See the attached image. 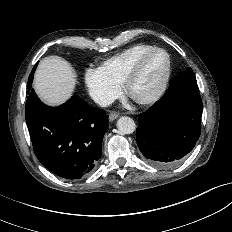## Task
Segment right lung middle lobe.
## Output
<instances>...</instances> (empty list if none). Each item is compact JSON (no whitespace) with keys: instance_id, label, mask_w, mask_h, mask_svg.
Returning a JSON list of instances; mask_svg holds the SVG:
<instances>
[{"instance_id":"obj_1","label":"right lung middle lobe","mask_w":232,"mask_h":232,"mask_svg":"<svg viewBox=\"0 0 232 232\" xmlns=\"http://www.w3.org/2000/svg\"><path fill=\"white\" fill-rule=\"evenodd\" d=\"M36 67H37V64L35 65L34 69L32 70V73L29 76L28 85H27L28 89H31V84H32V81H33V75H34Z\"/></svg>"}]
</instances>
